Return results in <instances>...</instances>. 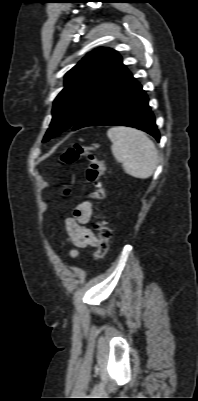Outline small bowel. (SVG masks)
Segmentation results:
<instances>
[{
  "instance_id": "c3829d8e",
  "label": "small bowel",
  "mask_w": 198,
  "mask_h": 401,
  "mask_svg": "<svg viewBox=\"0 0 198 401\" xmlns=\"http://www.w3.org/2000/svg\"><path fill=\"white\" fill-rule=\"evenodd\" d=\"M92 215L91 204L84 201L77 205L71 217L65 220L66 240L72 246L70 256L78 257V249L88 246L95 247L98 238L95 233L87 227Z\"/></svg>"
}]
</instances>
